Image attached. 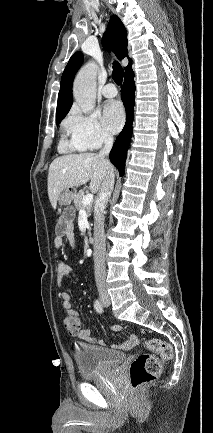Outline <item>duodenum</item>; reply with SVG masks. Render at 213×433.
Segmentation results:
<instances>
[{
    "instance_id": "duodenum-1",
    "label": "duodenum",
    "mask_w": 213,
    "mask_h": 433,
    "mask_svg": "<svg viewBox=\"0 0 213 433\" xmlns=\"http://www.w3.org/2000/svg\"><path fill=\"white\" fill-rule=\"evenodd\" d=\"M88 240H89L90 244H95V242H96L95 237L92 234L89 236Z\"/></svg>"
}]
</instances>
